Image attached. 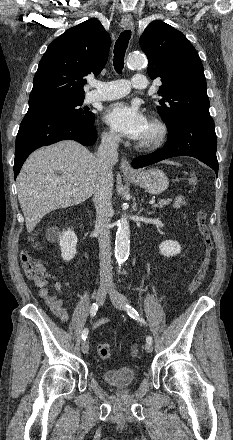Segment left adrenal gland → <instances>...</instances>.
Here are the masks:
<instances>
[{"label":"left adrenal gland","instance_id":"left-adrenal-gland-1","mask_svg":"<svg viewBox=\"0 0 233 440\" xmlns=\"http://www.w3.org/2000/svg\"><path fill=\"white\" fill-rule=\"evenodd\" d=\"M153 212H148V214H152Z\"/></svg>","mask_w":233,"mask_h":440}]
</instances>
